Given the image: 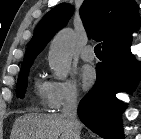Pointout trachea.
<instances>
[{
    "label": "trachea",
    "instance_id": "1",
    "mask_svg": "<svg viewBox=\"0 0 141 139\" xmlns=\"http://www.w3.org/2000/svg\"><path fill=\"white\" fill-rule=\"evenodd\" d=\"M95 54H101V44H97L94 48Z\"/></svg>",
    "mask_w": 141,
    "mask_h": 139
}]
</instances>
